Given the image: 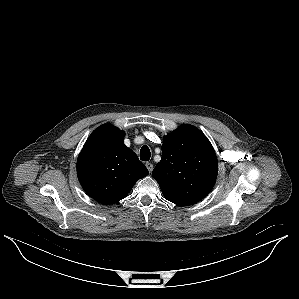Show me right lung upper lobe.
Returning a JSON list of instances; mask_svg holds the SVG:
<instances>
[{
  "mask_svg": "<svg viewBox=\"0 0 299 299\" xmlns=\"http://www.w3.org/2000/svg\"><path fill=\"white\" fill-rule=\"evenodd\" d=\"M124 135L112 125H102L93 131L79 154L80 184L99 203L119 202L137 180L148 174L137 155L125 146Z\"/></svg>",
  "mask_w": 299,
  "mask_h": 299,
  "instance_id": "right-lung-upper-lobe-1",
  "label": "right lung upper lobe"
}]
</instances>
